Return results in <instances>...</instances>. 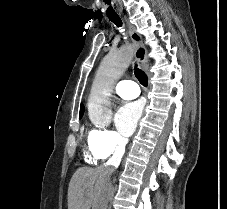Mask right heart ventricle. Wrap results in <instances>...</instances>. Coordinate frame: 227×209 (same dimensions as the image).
Returning a JSON list of instances; mask_svg holds the SVG:
<instances>
[{
	"label": "right heart ventricle",
	"instance_id": "1",
	"mask_svg": "<svg viewBox=\"0 0 227 209\" xmlns=\"http://www.w3.org/2000/svg\"><path fill=\"white\" fill-rule=\"evenodd\" d=\"M84 158L85 161L90 165H97L100 161L105 159L101 152L90 143L86 145Z\"/></svg>",
	"mask_w": 227,
	"mask_h": 209
}]
</instances>
